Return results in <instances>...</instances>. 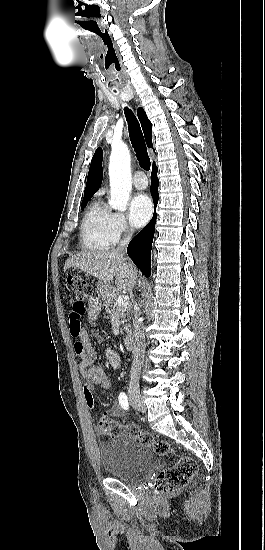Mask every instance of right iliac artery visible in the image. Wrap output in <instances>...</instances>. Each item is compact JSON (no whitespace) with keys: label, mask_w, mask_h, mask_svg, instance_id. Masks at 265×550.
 <instances>
[{"label":"right iliac artery","mask_w":265,"mask_h":550,"mask_svg":"<svg viewBox=\"0 0 265 550\" xmlns=\"http://www.w3.org/2000/svg\"><path fill=\"white\" fill-rule=\"evenodd\" d=\"M119 404L121 405V407L125 410H128L129 409V402H128V398L126 396V394L124 392H121L119 394Z\"/></svg>","instance_id":"obj_1"}]
</instances>
